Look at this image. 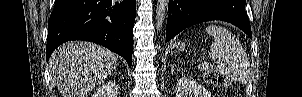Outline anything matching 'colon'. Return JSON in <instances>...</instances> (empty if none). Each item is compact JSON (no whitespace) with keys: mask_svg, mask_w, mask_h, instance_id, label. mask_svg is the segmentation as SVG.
I'll use <instances>...</instances> for the list:
<instances>
[{"mask_svg":"<svg viewBox=\"0 0 302 97\" xmlns=\"http://www.w3.org/2000/svg\"><path fill=\"white\" fill-rule=\"evenodd\" d=\"M205 80L207 83L212 85H223L226 83L225 79L213 70L206 72Z\"/></svg>","mask_w":302,"mask_h":97,"instance_id":"obj_1","label":"colon"}]
</instances>
